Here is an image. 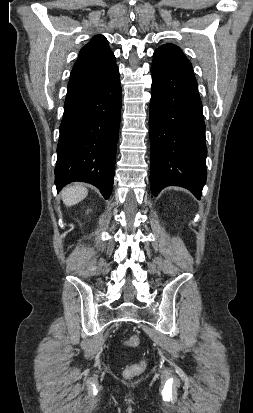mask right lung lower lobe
Masks as SVG:
<instances>
[{
    "instance_id": "98d812e1",
    "label": "right lung lower lobe",
    "mask_w": 253,
    "mask_h": 413,
    "mask_svg": "<svg viewBox=\"0 0 253 413\" xmlns=\"http://www.w3.org/2000/svg\"><path fill=\"white\" fill-rule=\"evenodd\" d=\"M119 70L91 91L65 100L57 146L55 184L82 181L110 197L121 113Z\"/></svg>"
}]
</instances>
